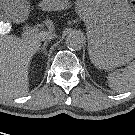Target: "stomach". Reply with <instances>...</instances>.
Wrapping results in <instances>:
<instances>
[{
    "instance_id": "obj_1",
    "label": "stomach",
    "mask_w": 135,
    "mask_h": 135,
    "mask_svg": "<svg viewBox=\"0 0 135 135\" xmlns=\"http://www.w3.org/2000/svg\"><path fill=\"white\" fill-rule=\"evenodd\" d=\"M49 10L62 0H47ZM13 15L26 16L27 0H1ZM76 10L87 27L89 56L100 69H113L135 57V13L127 0H76Z\"/></svg>"
}]
</instances>
